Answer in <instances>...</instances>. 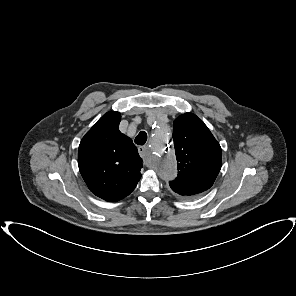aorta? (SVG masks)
I'll return each mask as SVG.
<instances>
[{"mask_svg": "<svg viewBox=\"0 0 296 296\" xmlns=\"http://www.w3.org/2000/svg\"><path fill=\"white\" fill-rule=\"evenodd\" d=\"M170 127L161 120L154 124L152 135L153 165L160 177L170 180L176 176V159L170 151Z\"/></svg>", "mask_w": 296, "mask_h": 296, "instance_id": "1", "label": "aorta"}]
</instances>
